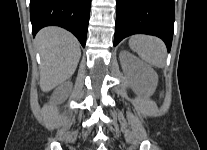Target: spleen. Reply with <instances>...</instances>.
Wrapping results in <instances>:
<instances>
[{
	"instance_id": "obj_1",
	"label": "spleen",
	"mask_w": 207,
	"mask_h": 150,
	"mask_svg": "<svg viewBox=\"0 0 207 150\" xmlns=\"http://www.w3.org/2000/svg\"><path fill=\"white\" fill-rule=\"evenodd\" d=\"M129 46L146 63L157 68L164 67L166 62V47L159 38L136 35L130 38Z\"/></svg>"
}]
</instances>
